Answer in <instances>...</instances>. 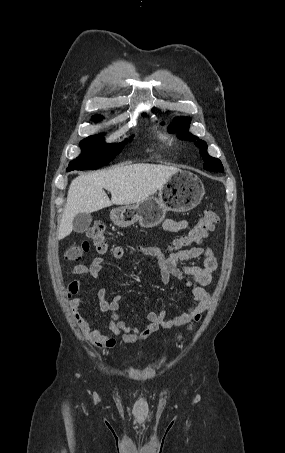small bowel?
I'll list each match as a JSON object with an SVG mask.
<instances>
[{"label":"small bowel","mask_w":285,"mask_h":453,"mask_svg":"<svg viewBox=\"0 0 285 453\" xmlns=\"http://www.w3.org/2000/svg\"><path fill=\"white\" fill-rule=\"evenodd\" d=\"M189 225L187 220L166 219L163 228L167 232L180 233ZM132 253L138 255L153 256L157 260V267L161 281L168 283L172 278L185 280L187 292L192 297L193 303L185 312L173 318H167L165 310L151 311L145 315L146 324L143 326H132L120 319L118 310L120 307L121 295H116L112 300L106 298L105 289L95 292V298L102 312L106 313L107 320L103 327H94L86 318L81 305L83 298L76 296L80 291V282L73 280L66 287V295L69 299L70 312L79 326L83 336L95 347L112 349L116 346L117 340L107 334L104 329L118 336L122 342L132 344L145 340L159 329H171L184 326L191 321H199L211 303V296L206 290L212 281V274L217 270L218 263L213 251L208 247H195L189 251H180L165 256L159 249L152 247L132 248ZM123 250L119 249L114 254L115 259H120ZM203 257V264L180 265L181 261H189ZM103 269V259L96 257L90 266L77 265L71 274L88 277L96 280ZM104 328V329H103Z\"/></svg>","instance_id":"obj_1"}]
</instances>
